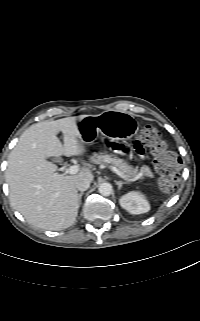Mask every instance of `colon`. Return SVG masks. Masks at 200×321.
I'll list each match as a JSON object with an SVG mask.
<instances>
[{"instance_id": "1", "label": "colon", "mask_w": 200, "mask_h": 321, "mask_svg": "<svg viewBox=\"0 0 200 321\" xmlns=\"http://www.w3.org/2000/svg\"><path fill=\"white\" fill-rule=\"evenodd\" d=\"M141 143L145 150H149L154 158V167L160 175V186L164 191H173L178 187V156L170 151L161 139L159 131L146 126L141 130Z\"/></svg>"}]
</instances>
